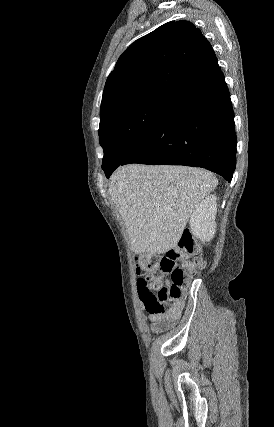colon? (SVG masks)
<instances>
[{
  "instance_id": "colon-1",
  "label": "colon",
  "mask_w": 274,
  "mask_h": 427,
  "mask_svg": "<svg viewBox=\"0 0 274 427\" xmlns=\"http://www.w3.org/2000/svg\"><path fill=\"white\" fill-rule=\"evenodd\" d=\"M176 244L182 249L170 250L163 255H146L142 257L141 252L133 253V260L136 262V274L140 276L133 280V291L138 292V296L145 297L141 301L147 313L151 315H160L164 312L166 305L178 300L182 294L187 280L192 272L204 265L201 257H196L183 266L177 265L183 254L191 255L194 251V243L189 229H180V238L176 239ZM158 274L153 277L149 274L153 271ZM168 275V281L165 285L158 288L156 292L147 289V285L153 280H160L161 276Z\"/></svg>"
}]
</instances>
